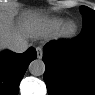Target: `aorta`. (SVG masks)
I'll list each match as a JSON object with an SVG mask.
<instances>
[{"label": "aorta", "instance_id": "762f6f07", "mask_svg": "<svg viewBox=\"0 0 95 95\" xmlns=\"http://www.w3.org/2000/svg\"><path fill=\"white\" fill-rule=\"evenodd\" d=\"M28 69L33 76H41L45 72V64L42 60L35 59L29 64Z\"/></svg>", "mask_w": 95, "mask_h": 95}]
</instances>
